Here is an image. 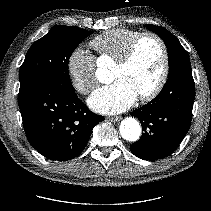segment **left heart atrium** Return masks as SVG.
<instances>
[{"mask_svg":"<svg viewBox=\"0 0 211 211\" xmlns=\"http://www.w3.org/2000/svg\"><path fill=\"white\" fill-rule=\"evenodd\" d=\"M135 90L124 80L95 90L90 96V107L102 114H117L130 108L137 99Z\"/></svg>","mask_w":211,"mask_h":211,"instance_id":"1","label":"left heart atrium"}]
</instances>
